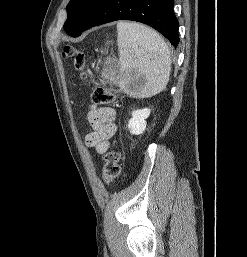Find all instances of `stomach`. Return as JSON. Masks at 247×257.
<instances>
[{"label":"stomach","mask_w":247,"mask_h":257,"mask_svg":"<svg viewBox=\"0 0 247 257\" xmlns=\"http://www.w3.org/2000/svg\"><path fill=\"white\" fill-rule=\"evenodd\" d=\"M114 80V79H113ZM116 80H117V78H116ZM128 87H130V81H128L127 83H126V88H128Z\"/></svg>","instance_id":"obj_1"}]
</instances>
